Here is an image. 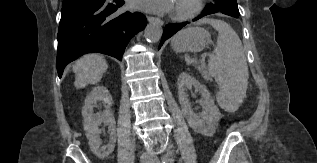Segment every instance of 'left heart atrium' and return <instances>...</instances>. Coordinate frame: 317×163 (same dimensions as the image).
<instances>
[{"mask_svg":"<svg viewBox=\"0 0 317 163\" xmlns=\"http://www.w3.org/2000/svg\"><path fill=\"white\" fill-rule=\"evenodd\" d=\"M131 2L145 11L166 13L173 9L176 0H131Z\"/></svg>","mask_w":317,"mask_h":163,"instance_id":"1","label":"left heart atrium"}]
</instances>
